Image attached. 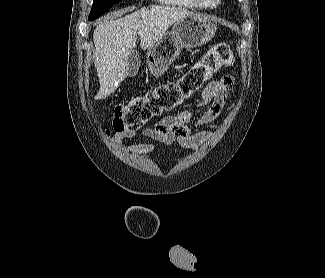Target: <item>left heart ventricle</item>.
Segmentation results:
<instances>
[{"instance_id": "left-heart-ventricle-1", "label": "left heart ventricle", "mask_w": 325, "mask_h": 278, "mask_svg": "<svg viewBox=\"0 0 325 278\" xmlns=\"http://www.w3.org/2000/svg\"><path fill=\"white\" fill-rule=\"evenodd\" d=\"M207 1H209V2H211V3H212V2H214L215 0H207Z\"/></svg>"}]
</instances>
